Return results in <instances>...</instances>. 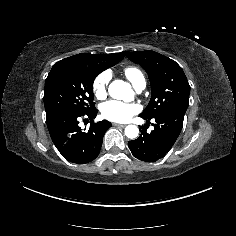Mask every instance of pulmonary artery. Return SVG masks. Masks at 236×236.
Returning <instances> with one entry per match:
<instances>
[{
    "instance_id": "pulmonary-artery-1",
    "label": "pulmonary artery",
    "mask_w": 236,
    "mask_h": 236,
    "mask_svg": "<svg viewBox=\"0 0 236 236\" xmlns=\"http://www.w3.org/2000/svg\"><path fill=\"white\" fill-rule=\"evenodd\" d=\"M134 87L137 93H141L146 88L145 80L138 82Z\"/></svg>"
}]
</instances>
